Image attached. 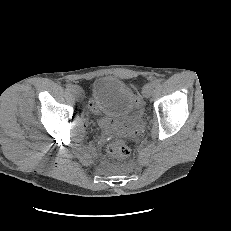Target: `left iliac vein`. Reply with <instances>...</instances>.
Segmentation results:
<instances>
[{
	"mask_svg": "<svg viewBox=\"0 0 231 231\" xmlns=\"http://www.w3.org/2000/svg\"><path fill=\"white\" fill-rule=\"evenodd\" d=\"M153 90H154V85H153L152 83L146 84V85L144 86V88H143V91H142L143 96H144L145 98H149V97L152 95Z\"/></svg>",
	"mask_w": 231,
	"mask_h": 231,
	"instance_id": "1",
	"label": "left iliac vein"
}]
</instances>
